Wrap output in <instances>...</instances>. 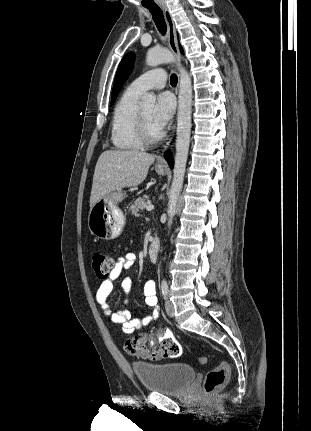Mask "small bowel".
<instances>
[{"instance_id":"c3829d8e","label":"small bowel","mask_w":311,"mask_h":431,"mask_svg":"<svg viewBox=\"0 0 311 431\" xmlns=\"http://www.w3.org/2000/svg\"><path fill=\"white\" fill-rule=\"evenodd\" d=\"M136 262V255L132 251H126L121 256L118 257L117 264L111 271L110 275L100 284L96 299L104 315L110 316L114 323L121 326V329L126 334H131L135 330H142L145 327L153 323L159 315V306L156 296V286L153 280H148L143 289L144 298L146 305L151 308L148 315L141 318L131 319L130 312L123 309L112 310L109 303V296L112 292L113 285L115 281L121 276L125 271H128ZM122 288L125 294H129L132 288V283L130 278L125 277L122 281ZM145 335V334H144ZM166 336H172V333L165 331L162 333V329L157 327L155 330V337L159 338ZM146 336V335H145Z\"/></svg>"}]
</instances>
